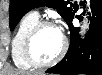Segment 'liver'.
<instances>
[{"instance_id": "obj_1", "label": "liver", "mask_w": 102, "mask_h": 75, "mask_svg": "<svg viewBox=\"0 0 102 75\" xmlns=\"http://www.w3.org/2000/svg\"><path fill=\"white\" fill-rule=\"evenodd\" d=\"M7 75H28L25 72L22 71H9Z\"/></svg>"}]
</instances>
